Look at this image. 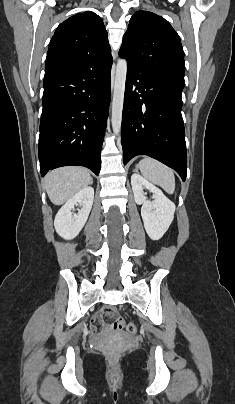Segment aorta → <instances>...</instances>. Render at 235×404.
Instances as JSON below:
<instances>
[{"mask_svg": "<svg viewBox=\"0 0 235 404\" xmlns=\"http://www.w3.org/2000/svg\"><path fill=\"white\" fill-rule=\"evenodd\" d=\"M127 75V61L120 59L116 66L114 92L112 101V129L115 135L119 134L122 123L125 82Z\"/></svg>", "mask_w": 235, "mask_h": 404, "instance_id": "1", "label": "aorta"}]
</instances>
